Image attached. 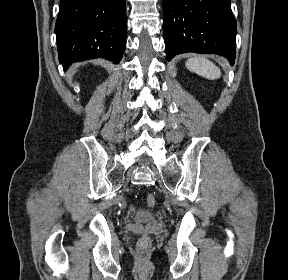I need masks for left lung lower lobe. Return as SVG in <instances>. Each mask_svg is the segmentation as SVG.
I'll return each instance as SVG.
<instances>
[{
	"mask_svg": "<svg viewBox=\"0 0 288 280\" xmlns=\"http://www.w3.org/2000/svg\"><path fill=\"white\" fill-rule=\"evenodd\" d=\"M167 60L195 52L235 60L236 21L230 0H162Z\"/></svg>",
	"mask_w": 288,
	"mask_h": 280,
	"instance_id": "1",
	"label": "left lung lower lobe"
}]
</instances>
